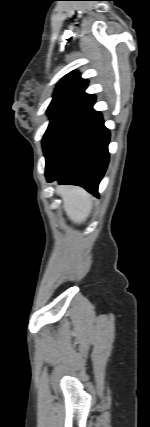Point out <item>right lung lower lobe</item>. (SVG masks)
I'll return each instance as SVG.
<instances>
[{
    "label": "right lung lower lobe",
    "instance_id": "obj_1",
    "mask_svg": "<svg viewBox=\"0 0 150 427\" xmlns=\"http://www.w3.org/2000/svg\"><path fill=\"white\" fill-rule=\"evenodd\" d=\"M92 106L81 111L56 141L46 158V178L82 186L98 196L109 161L110 133Z\"/></svg>",
    "mask_w": 150,
    "mask_h": 427
}]
</instances>
